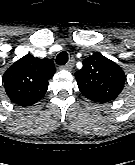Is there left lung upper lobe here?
Wrapping results in <instances>:
<instances>
[{
  "instance_id": "5c2ea615",
  "label": "left lung upper lobe",
  "mask_w": 135,
  "mask_h": 165,
  "mask_svg": "<svg viewBox=\"0 0 135 165\" xmlns=\"http://www.w3.org/2000/svg\"><path fill=\"white\" fill-rule=\"evenodd\" d=\"M78 88L88 99L106 103L114 100L124 87L122 68L101 53L84 59L83 67L75 73Z\"/></svg>"
}]
</instances>
